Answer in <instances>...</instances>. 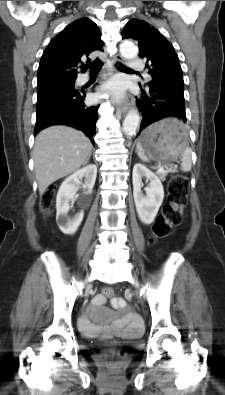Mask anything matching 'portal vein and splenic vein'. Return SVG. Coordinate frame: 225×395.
Returning a JSON list of instances; mask_svg holds the SVG:
<instances>
[{
	"label": "portal vein and splenic vein",
	"mask_w": 225,
	"mask_h": 395,
	"mask_svg": "<svg viewBox=\"0 0 225 395\" xmlns=\"http://www.w3.org/2000/svg\"><path fill=\"white\" fill-rule=\"evenodd\" d=\"M164 171V167L163 166H158V172H163Z\"/></svg>",
	"instance_id": "portal-vein-and-splenic-vein-1"
}]
</instances>
